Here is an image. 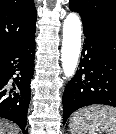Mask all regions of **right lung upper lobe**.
Returning a JSON list of instances; mask_svg holds the SVG:
<instances>
[{
  "label": "right lung upper lobe",
  "mask_w": 116,
  "mask_h": 134,
  "mask_svg": "<svg viewBox=\"0 0 116 134\" xmlns=\"http://www.w3.org/2000/svg\"><path fill=\"white\" fill-rule=\"evenodd\" d=\"M36 16L33 0H0V55L35 34Z\"/></svg>",
  "instance_id": "right-lung-upper-lobe-1"
}]
</instances>
